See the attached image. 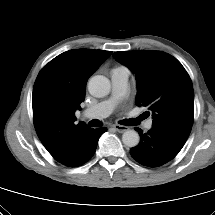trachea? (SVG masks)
I'll return each mask as SVG.
<instances>
[{"label":"trachea","mask_w":215,"mask_h":215,"mask_svg":"<svg viewBox=\"0 0 215 215\" xmlns=\"http://www.w3.org/2000/svg\"><path fill=\"white\" fill-rule=\"evenodd\" d=\"M142 119H143V116H140V117H138L136 119L132 118V119L124 120V121H122V124L127 125V126H134V125L139 124V122ZM89 126H91V127H101L102 124H101V122L99 120L94 119V120L89 122Z\"/></svg>","instance_id":"1"}]
</instances>
